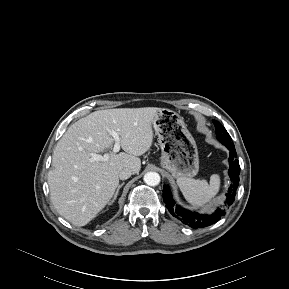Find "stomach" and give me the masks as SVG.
Returning a JSON list of instances; mask_svg holds the SVG:
<instances>
[{
    "label": "stomach",
    "instance_id": "obj_1",
    "mask_svg": "<svg viewBox=\"0 0 289 289\" xmlns=\"http://www.w3.org/2000/svg\"><path fill=\"white\" fill-rule=\"evenodd\" d=\"M152 127L161 147V166L173 177L192 178L199 170L196 142L177 112L161 108Z\"/></svg>",
    "mask_w": 289,
    "mask_h": 289
}]
</instances>
